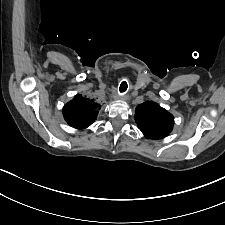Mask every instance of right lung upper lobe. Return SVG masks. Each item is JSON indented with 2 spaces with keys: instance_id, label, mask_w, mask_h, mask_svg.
Masks as SVG:
<instances>
[{
  "instance_id": "right-lung-upper-lobe-1",
  "label": "right lung upper lobe",
  "mask_w": 225,
  "mask_h": 225,
  "mask_svg": "<svg viewBox=\"0 0 225 225\" xmlns=\"http://www.w3.org/2000/svg\"><path fill=\"white\" fill-rule=\"evenodd\" d=\"M100 105L94 100H87L82 95H76L63 108L66 122L76 129H85L91 125L97 117Z\"/></svg>"
}]
</instances>
